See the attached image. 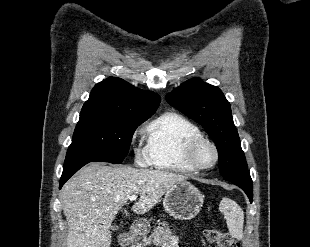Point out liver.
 I'll return each instance as SVG.
<instances>
[{"mask_svg":"<svg viewBox=\"0 0 310 247\" xmlns=\"http://www.w3.org/2000/svg\"><path fill=\"white\" fill-rule=\"evenodd\" d=\"M186 179L172 172L130 166L92 163L84 167L61 190L69 226L67 247H110L112 221L130 196H140L132 211L143 215Z\"/></svg>","mask_w":310,"mask_h":247,"instance_id":"obj_1","label":"liver"}]
</instances>
